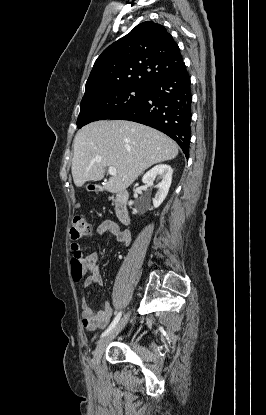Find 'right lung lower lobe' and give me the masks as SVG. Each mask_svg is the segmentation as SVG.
<instances>
[{
    "mask_svg": "<svg viewBox=\"0 0 266 415\" xmlns=\"http://www.w3.org/2000/svg\"><path fill=\"white\" fill-rule=\"evenodd\" d=\"M190 78L186 67L148 87L146 96L135 105L111 117L153 127L172 139L189 155L191 138Z\"/></svg>",
    "mask_w": 266,
    "mask_h": 415,
    "instance_id": "obj_1",
    "label": "right lung lower lobe"
}]
</instances>
